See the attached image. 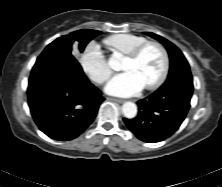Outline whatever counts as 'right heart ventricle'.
Listing matches in <instances>:
<instances>
[{
	"label": "right heart ventricle",
	"mask_w": 222,
	"mask_h": 187,
	"mask_svg": "<svg viewBox=\"0 0 222 187\" xmlns=\"http://www.w3.org/2000/svg\"><path fill=\"white\" fill-rule=\"evenodd\" d=\"M146 41L144 37L124 33L109 36L104 40V43L112 51L127 55Z\"/></svg>",
	"instance_id": "1"
}]
</instances>
